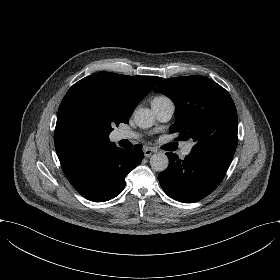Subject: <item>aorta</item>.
I'll use <instances>...</instances> for the list:
<instances>
[{
  "mask_svg": "<svg viewBox=\"0 0 280 280\" xmlns=\"http://www.w3.org/2000/svg\"><path fill=\"white\" fill-rule=\"evenodd\" d=\"M134 123L142 129L150 128L154 124V115L148 108H139L133 114ZM150 165L156 172H163L168 168L169 160L165 153L154 154L150 158Z\"/></svg>",
  "mask_w": 280,
  "mask_h": 280,
  "instance_id": "aorta-1",
  "label": "aorta"
}]
</instances>
